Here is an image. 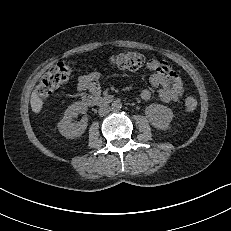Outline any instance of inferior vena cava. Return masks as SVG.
Instances as JSON below:
<instances>
[{
  "label": "inferior vena cava",
  "mask_w": 231,
  "mask_h": 231,
  "mask_svg": "<svg viewBox=\"0 0 231 231\" xmlns=\"http://www.w3.org/2000/svg\"><path fill=\"white\" fill-rule=\"evenodd\" d=\"M111 111V107L107 105H102L99 108V115L106 116Z\"/></svg>",
  "instance_id": "inferior-vena-cava-1"
}]
</instances>
